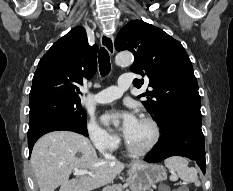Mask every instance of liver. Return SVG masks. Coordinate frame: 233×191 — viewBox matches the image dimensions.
<instances>
[{"mask_svg": "<svg viewBox=\"0 0 233 191\" xmlns=\"http://www.w3.org/2000/svg\"><path fill=\"white\" fill-rule=\"evenodd\" d=\"M31 166L40 191H92L111 183L125 168L119 161L102 160L88 138L71 131H53L34 145ZM75 170L91 174L69 180Z\"/></svg>", "mask_w": 233, "mask_h": 191, "instance_id": "obj_1", "label": "liver"}]
</instances>
